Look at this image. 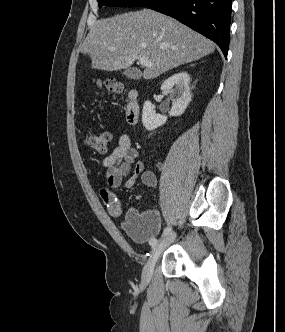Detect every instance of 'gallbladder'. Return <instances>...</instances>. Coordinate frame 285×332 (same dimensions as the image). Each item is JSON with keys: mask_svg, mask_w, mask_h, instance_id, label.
I'll list each match as a JSON object with an SVG mask.
<instances>
[{"mask_svg": "<svg viewBox=\"0 0 285 332\" xmlns=\"http://www.w3.org/2000/svg\"><path fill=\"white\" fill-rule=\"evenodd\" d=\"M123 74L132 80H139L142 76L141 71L138 70L137 68H128L126 69Z\"/></svg>", "mask_w": 285, "mask_h": 332, "instance_id": "1", "label": "gallbladder"}]
</instances>
